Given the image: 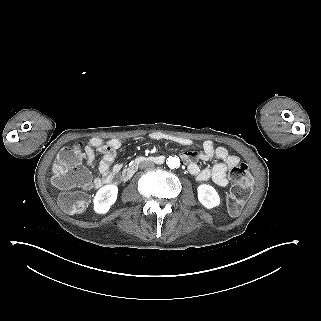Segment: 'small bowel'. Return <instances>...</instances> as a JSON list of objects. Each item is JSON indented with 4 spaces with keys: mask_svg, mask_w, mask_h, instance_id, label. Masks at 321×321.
<instances>
[{
    "mask_svg": "<svg viewBox=\"0 0 321 321\" xmlns=\"http://www.w3.org/2000/svg\"><path fill=\"white\" fill-rule=\"evenodd\" d=\"M149 138L152 140H167L183 146L192 144L190 139L161 132L151 133ZM121 145V141L116 138L103 140L99 137H93L88 141L84 158L86 165L92 171H96L95 153L102 155L98 165V175L93 180L94 188L98 189L105 184L118 180L122 166L120 164H113V162ZM181 157L187 163L189 173L197 181H213L222 187L227 186L229 183L227 178L228 170L239 163L237 156L229 154L228 150L224 147H216L212 141H205L200 151H185ZM213 158L217 162L212 168L201 169L197 164V160L208 161Z\"/></svg>",
    "mask_w": 321,
    "mask_h": 321,
    "instance_id": "small-bowel-1",
    "label": "small bowel"
}]
</instances>
